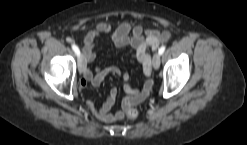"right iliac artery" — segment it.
Wrapping results in <instances>:
<instances>
[{
	"label": "right iliac artery",
	"instance_id": "1",
	"mask_svg": "<svg viewBox=\"0 0 247 145\" xmlns=\"http://www.w3.org/2000/svg\"><path fill=\"white\" fill-rule=\"evenodd\" d=\"M72 49L75 52V54L79 57L80 56V50H79V48L75 44H73L72 45Z\"/></svg>",
	"mask_w": 247,
	"mask_h": 145
}]
</instances>
